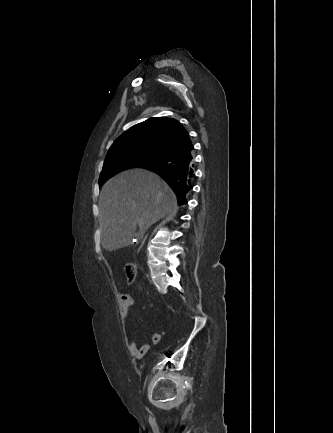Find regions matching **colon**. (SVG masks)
<instances>
[{
  "mask_svg": "<svg viewBox=\"0 0 333 433\" xmlns=\"http://www.w3.org/2000/svg\"><path fill=\"white\" fill-rule=\"evenodd\" d=\"M125 272L128 282H133L136 279L137 267L134 263H127L125 265Z\"/></svg>",
  "mask_w": 333,
  "mask_h": 433,
  "instance_id": "1",
  "label": "colon"
}]
</instances>
